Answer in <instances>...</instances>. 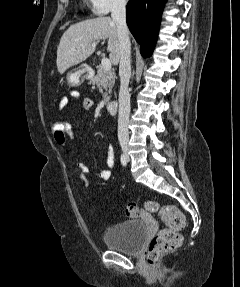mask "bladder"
<instances>
[{"label": "bladder", "instance_id": "1", "mask_svg": "<svg viewBox=\"0 0 240 287\" xmlns=\"http://www.w3.org/2000/svg\"><path fill=\"white\" fill-rule=\"evenodd\" d=\"M148 237V229L142 220H128L104 231L103 241L107 247L125 254H139Z\"/></svg>", "mask_w": 240, "mask_h": 287}]
</instances>
